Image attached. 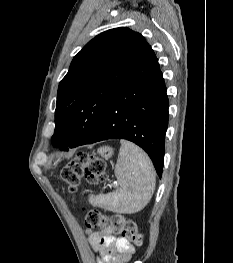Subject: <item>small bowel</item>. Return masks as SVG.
I'll use <instances>...</instances> for the list:
<instances>
[{
    "label": "small bowel",
    "instance_id": "small-bowel-1",
    "mask_svg": "<svg viewBox=\"0 0 233 263\" xmlns=\"http://www.w3.org/2000/svg\"><path fill=\"white\" fill-rule=\"evenodd\" d=\"M91 247L99 253L97 263H128L135 250L130 242L111 227L87 230Z\"/></svg>",
    "mask_w": 233,
    "mask_h": 263
}]
</instances>
